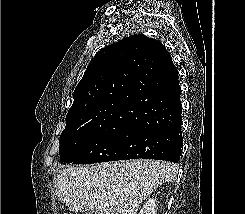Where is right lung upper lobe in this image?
<instances>
[{
	"label": "right lung upper lobe",
	"instance_id": "right-lung-upper-lobe-1",
	"mask_svg": "<svg viewBox=\"0 0 245 214\" xmlns=\"http://www.w3.org/2000/svg\"><path fill=\"white\" fill-rule=\"evenodd\" d=\"M171 60L160 41L140 34L101 49L74 91L66 128L132 122L141 111V98L161 92Z\"/></svg>",
	"mask_w": 245,
	"mask_h": 214
}]
</instances>
